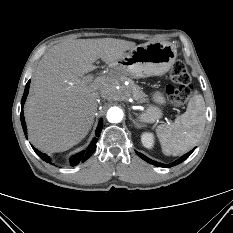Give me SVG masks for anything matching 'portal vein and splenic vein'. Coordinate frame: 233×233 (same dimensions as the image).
<instances>
[{"mask_svg":"<svg viewBox=\"0 0 233 233\" xmlns=\"http://www.w3.org/2000/svg\"><path fill=\"white\" fill-rule=\"evenodd\" d=\"M86 80H87V81H90V80H92V77H91V76H87V77H86Z\"/></svg>","mask_w":233,"mask_h":233,"instance_id":"obj_1","label":"portal vein and splenic vein"}]
</instances>
